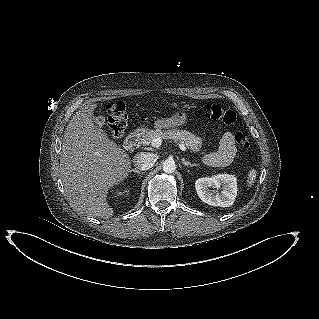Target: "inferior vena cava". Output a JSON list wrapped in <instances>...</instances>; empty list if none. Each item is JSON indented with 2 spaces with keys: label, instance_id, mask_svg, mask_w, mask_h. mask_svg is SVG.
Masks as SVG:
<instances>
[{
  "label": "inferior vena cava",
  "instance_id": "inferior-vena-cava-1",
  "mask_svg": "<svg viewBox=\"0 0 319 319\" xmlns=\"http://www.w3.org/2000/svg\"><path fill=\"white\" fill-rule=\"evenodd\" d=\"M133 162L137 169L145 171L150 169L155 164L156 157L152 153L142 152L134 156Z\"/></svg>",
  "mask_w": 319,
  "mask_h": 319
}]
</instances>
